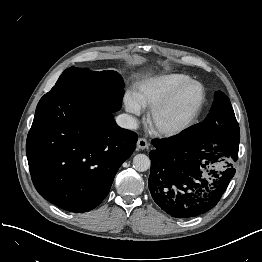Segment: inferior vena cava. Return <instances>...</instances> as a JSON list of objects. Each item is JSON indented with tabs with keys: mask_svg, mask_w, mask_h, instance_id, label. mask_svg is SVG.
Wrapping results in <instances>:
<instances>
[{
	"mask_svg": "<svg viewBox=\"0 0 262 262\" xmlns=\"http://www.w3.org/2000/svg\"><path fill=\"white\" fill-rule=\"evenodd\" d=\"M116 123L121 128L125 129H137V119L129 114H120L116 117Z\"/></svg>",
	"mask_w": 262,
	"mask_h": 262,
	"instance_id": "obj_1",
	"label": "inferior vena cava"
}]
</instances>
